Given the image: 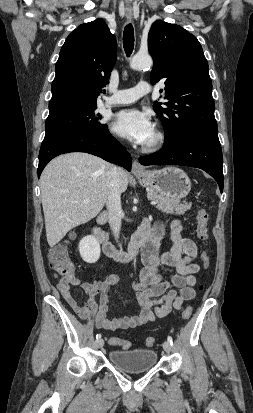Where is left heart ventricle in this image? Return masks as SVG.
I'll list each match as a JSON object with an SVG mask.
<instances>
[{
  "label": "left heart ventricle",
  "instance_id": "b2bd125f",
  "mask_svg": "<svg viewBox=\"0 0 253 413\" xmlns=\"http://www.w3.org/2000/svg\"><path fill=\"white\" fill-rule=\"evenodd\" d=\"M153 139H154V135L152 136V138L147 143L151 142Z\"/></svg>",
  "mask_w": 253,
  "mask_h": 413
}]
</instances>
